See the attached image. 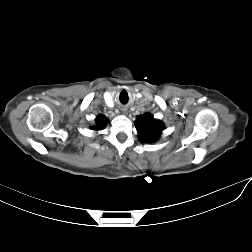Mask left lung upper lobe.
Wrapping results in <instances>:
<instances>
[{
  "instance_id": "left-lung-upper-lobe-1",
  "label": "left lung upper lobe",
  "mask_w": 252,
  "mask_h": 252,
  "mask_svg": "<svg viewBox=\"0 0 252 252\" xmlns=\"http://www.w3.org/2000/svg\"><path fill=\"white\" fill-rule=\"evenodd\" d=\"M134 124L138 131L139 140L142 143L155 142L164 128L163 123L155 120L150 113L137 116Z\"/></svg>"
}]
</instances>
